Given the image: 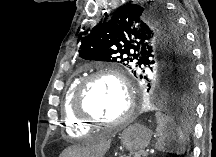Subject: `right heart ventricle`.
<instances>
[{
	"instance_id": "obj_1",
	"label": "right heart ventricle",
	"mask_w": 216,
	"mask_h": 157,
	"mask_svg": "<svg viewBox=\"0 0 216 157\" xmlns=\"http://www.w3.org/2000/svg\"><path fill=\"white\" fill-rule=\"evenodd\" d=\"M80 79H73L64 91L61 110L66 132L75 137L85 136L91 133L89 125L75 117L72 110V100L75 88Z\"/></svg>"
}]
</instances>
